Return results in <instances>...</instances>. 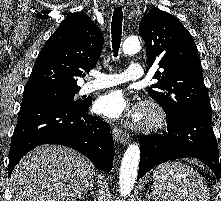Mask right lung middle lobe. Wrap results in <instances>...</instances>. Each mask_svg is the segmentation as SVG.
Instances as JSON below:
<instances>
[{"instance_id":"1","label":"right lung middle lobe","mask_w":221,"mask_h":201,"mask_svg":"<svg viewBox=\"0 0 221 201\" xmlns=\"http://www.w3.org/2000/svg\"><path fill=\"white\" fill-rule=\"evenodd\" d=\"M78 91L79 89H60L50 87L25 88L23 100L30 98L46 99L74 106H83L86 104V100H74V96Z\"/></svg>"}]
</instances>
